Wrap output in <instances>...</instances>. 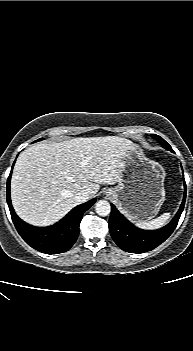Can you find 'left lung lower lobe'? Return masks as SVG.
Here are the masks:
<instances>
[{
  "label": "left lung lower lobe",
  "instance_id": "1",
  "mask_svg": "<svg viewBox=\"0 0 193 351\" xmlns=\"http://www.w3.org/2000/svg\"><path fill=\"white\" fill-rule=\"evenodd\" d=\"M184 187L186 188L185 184ZM185 199L186 191L184 192L181 206L172 221L165 227L155 231H146L135 227L111 204L109 230L113 240L122 250L130 253H143L156 248L176 228L184 209Z\"/></svg>",
  "mask_w": 193,
  "mask_h": 351
}]
</instances>
